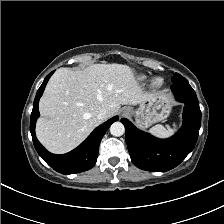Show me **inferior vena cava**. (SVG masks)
<instances>
[{"label": "inferior vena cava", "mask_w": 224, "mask_h": 224, "mask_svg": "<svg viewBox=\"0 0 224 224\" xmlns=\"http://www.w3.org/2000/svg\"><path fill=\"white\" fill-rule=\"evenodd\" d=\"M97 119L100 121L107 119V110L101 109L97 114Z\"/></svg>", "instance_id": "obj_1"}]
</instances>
